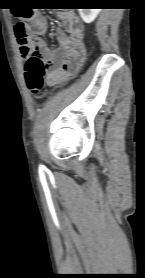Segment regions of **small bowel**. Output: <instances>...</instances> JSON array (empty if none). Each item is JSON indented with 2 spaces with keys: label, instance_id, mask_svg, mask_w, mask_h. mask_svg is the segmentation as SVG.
<instances>
[{
  "label": "small bowel",
  "instance_id": "c3829d8e",
  "mask_svg": "<svg viewBox=\"0 0 145 278\" xmlns=\"http://www.w3.org/2000/svg\"><path fill=\"white\" fill-rule=\"evenodd\" d=\"M20 17V15H17ZM59 20L64 26L56 32L58 47L50 49L43 38L48 30V22L44 17L31 16L26 21L28 29L32 33L33 43L29 52L21 51L23 57L38 55L49 63V84L56 83L62 76L63 68L69 65L80 69L86 59L83 46V24L73 13H60Z\"/></svg>",
  "mask_w": 145,
  "mask_h": 278
}]
</instances>
